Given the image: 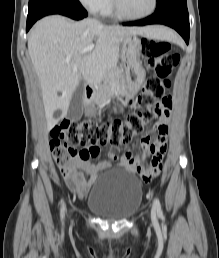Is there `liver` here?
Returning <instances> with one entry per match:
<instances>
[{
	"label": "liver",
	"mask_w": 219,
	"mask_h": 258,
	"mask_svg": "<svg viewBox=\"0 0 219 258\" xmlns=\"http://www.w3.org/2000/svg\"><path fill=\"white\" fill-rule=\"evenodd\" d=\"M166 29L157 26H105L94 19L73 22L60 15L38 21L30 31L28 51L39 78L45 116L49 128L58 123L55 111L66 116L72 95L83 78L89 85L99 84L106 72L116 66L119 45L129 35L167 39ZM173 38L176 36L169 33ZM96 43L92 52L82 51ZM71 57L67 61V57Z\"/></svg>",
	"instance_id": "1"
}]
</instances>
